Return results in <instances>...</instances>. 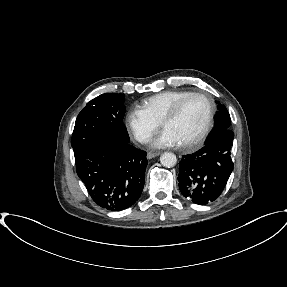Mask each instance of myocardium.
Instances as JSON below:
<instances>
[{"label":"myocardium","instance_id":"obj_1","mask_svg":"<svg viewBox=\"0 0 287 287\" xmlns=\"http://www.w3.org/2000/svg\"><path fill=\"white\" fill-rule=\"evenodd\" d=\"M194 97L202 98L205 101V103L207 105V117H206L205 125H204L202 131L199 133V135L192 140L181 143V146H183L185 148H189V149L196 148L199 145H201L205 141V139L207 138V136L209 135V133L211 132V130L213 128L215 105H214L212 99L208 95L201 93V92H191V93L187 94L186 96L179 99L167 111V113L163 116V118L161 119V122H160L161 126L163 127V124L166 121L174 119L179 114L183 105L189 99L194 98Z\"/></svg>","mask_w":287,"mask_h":287}]
</instances>
